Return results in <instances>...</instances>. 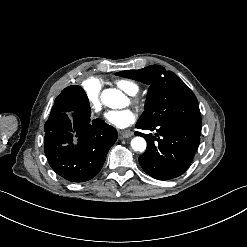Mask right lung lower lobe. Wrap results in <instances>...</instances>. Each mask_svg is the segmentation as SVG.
Masks as SVG:
<instances>
[{"label":"right lung lower lobe","instance_id":"1","mask_svg":"<svg viewBox=\"0 0 247 247\" xmlns=\"http://www.w3.org/2000/svg\"><path fill=\"white\" fill-rule=\"evenodd\" d=\"M72 112L73 119L68 114ZM85 106L68 87L56 98L44 130V151L51 168L71 182H84L101 170L116 129L101 119L90 121Z\"/></svg>","mask_w":247,"mask_h":247}]
</instances>
